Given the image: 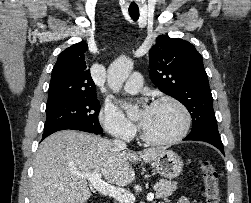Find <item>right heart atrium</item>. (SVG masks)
<instances>
[{"label": "right heart atrium", "instance_id": "d8ad5b80", "mask_svg": "<svg viewBox=\"0 0 251 203\" xmlns=\"http://www.w3.org/2000/svg\"><path fill=\"white\" fill-rule=\"evenodd\" d=\"M99 120L106 132L112 137L130 140L135 134V126L114 106L105 105L100 111Z\"/></svg>", "mask_w": 251, "mask_h": 203}]
</instances>
